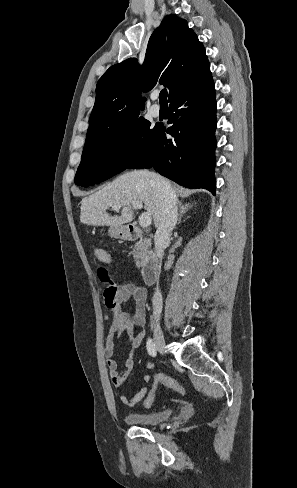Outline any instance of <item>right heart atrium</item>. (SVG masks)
<instances>
[{"instance_id": "obj_1", "label": "right heart atrium", "mask_w": 297, "mask_h": 488, "mask_svg": "<svg viewBox=\"0 0 297 488\" xmlns=\"http://www.w3.org/2000/svg\"><path fill=\"white\" fill-rule=\"evenodd\" d=\"M132 138L130 136H127L125 139H124V142H123V146L124 147H128L131 143H132Z\"/></svg>"}]
</instances>
